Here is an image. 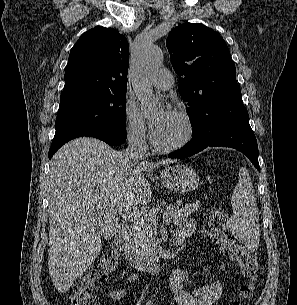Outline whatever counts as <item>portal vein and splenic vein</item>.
<instances>
[{"mask_svg": "<svg viewBox=\"0 0 297 305\" xmlns=\"http://www.w3.org/2000/svg\"><path fill=\"white\" fill-rule=\"evenodd\" d=\"M167 211H168V209H166L165 211H164V215L165 216H167ZM153 212H155L154 210H153ZM105 212H103V214H104ZM147 215H151L150 213H143V212H136V211H131V212H128V213H126V214H123V218H125V219H127V220H131V221H133V220H137V219H139V218H141V217H143V216H147Z\"/></svg>", "mask_w": 297, "mask_h": 305, "instance_id": "1", "label": "portal vein and splenic vein"}]
</instances>
